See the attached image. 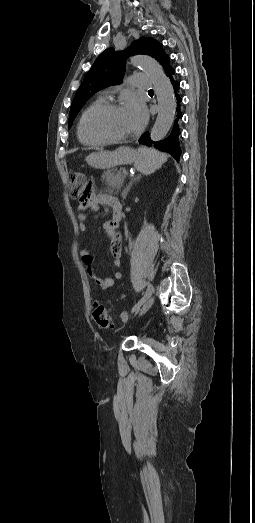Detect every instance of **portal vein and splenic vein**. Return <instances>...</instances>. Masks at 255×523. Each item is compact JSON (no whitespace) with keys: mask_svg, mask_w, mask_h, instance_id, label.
I'll use <instances>...</instances> for the list:
<instances>
[{"mask_svg":"<svg viewBox=\"0 0 255 523\" xmlns=\"http://www.w3.org/2000/svg\"><path fill=\"white\" fill-rule=\"evenodd\" d=\"M131 174V171L129 169L122 170V175L129 176Z\"/></svg>","mask_w":255,"mask_h":523,"instance_id":"obj_1","label":"portal vein and splenic vein"}]
</instances>
